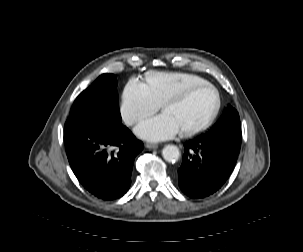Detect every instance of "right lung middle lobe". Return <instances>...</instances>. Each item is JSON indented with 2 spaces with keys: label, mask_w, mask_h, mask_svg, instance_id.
Masks as SVG:
<instances>
[{
  "label": "right lung middle lobe",
  "mask_w": 303,
  "mask_h": 252,
  "mask_svg": "<svg viewBox=\"0 0 303 252\" xmlns=\"http://www.w3.org/2000/svg\"><path fill=\"white\" fill-rule=\"evenodd\" d=\"M82 115H103L121 121L115 75H101L79 94L73 103L69 118Z\"/></svg>",
  "instance_id": "dd1d6c3e"
}]
</instances>
